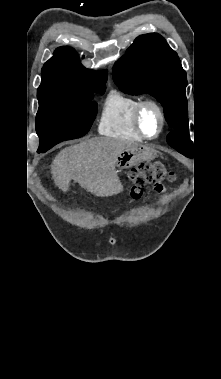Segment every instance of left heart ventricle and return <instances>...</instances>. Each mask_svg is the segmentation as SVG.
<instances>
[{
    "instance_id": "left-heart-ventricle-1",
    "label": "left heart ventricle",
    "mask_w": 221,
    "mask_h": 379,
    "mask_svg": "<svg viewBox=\"0 0 221 379\" xmlns=\"http://www.w3.org/2000/svg\"><path fill=\"white\" fill-rule=\"evenodd\" d=\"M142 126L147 134L153 135L159 127V118L156 111L152 108H147L142 114Z\"/></svg>"
}]
</instances>
